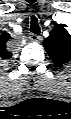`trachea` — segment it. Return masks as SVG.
I'll return each mask as SVG.
<instances>
[{
	"label": "trachea",
	"instance_id": "obj_1",
	"mask_svg": "<svg viewBox=\"0 0 71 119\" xmlns=\"http://www.w3.org/2000/svg\"><path fill=\"white\" fill-rule=\"evenodd\" d=\"M30 31L36 35L40 34V27L38 24V19L35 16L31 17V27Z\"/></svg>",
	"mask_w": 71,
	"mask_h": 119
}]
</instances>
